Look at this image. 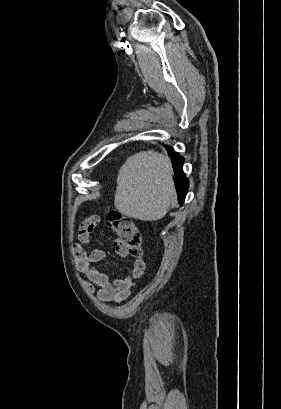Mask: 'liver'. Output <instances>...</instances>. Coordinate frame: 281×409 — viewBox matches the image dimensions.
Here are the masks:
<instances>
[{"mask_svg":"<svg viewBox=\"0 0 281 409\" xmlns=\"http://www.w3.org/2000/svg\"><path fill=\"white\" fill-rule=\"evenodd\" d=\"M172 174L169 156L154 150L131 154L118 170L116 209L139 221H159L177 196Z\"/></svg>","mask_w":281,"mask_h":409,"instance_id":"1","label":"liver"}]
</instances>
